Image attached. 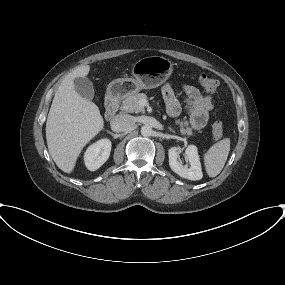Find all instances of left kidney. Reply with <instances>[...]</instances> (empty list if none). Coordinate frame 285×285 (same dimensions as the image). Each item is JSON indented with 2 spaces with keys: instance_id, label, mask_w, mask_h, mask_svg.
I'll return each mask as SVG.
<instances>
[{
  "instance_id": "obj_1",
  "label": "left kidney",
  "mask_w": 285,
  "mask_h": 285,
  "mask_svg": "<svg viewBox=\"0 0 285 285\" xmlns=\"http://www.w3.org/2000/svg\"><path fill=\"white\" fill-rule=\"evenodd\" d=\"M180 153L181 149L177 147H172L168 150L170 168L182 178L192 181L202 179L203 174L197 147L195 145H189L185 150V159L189 162V166H183L179 162Z\"/></svg>"
}]
</instances>
